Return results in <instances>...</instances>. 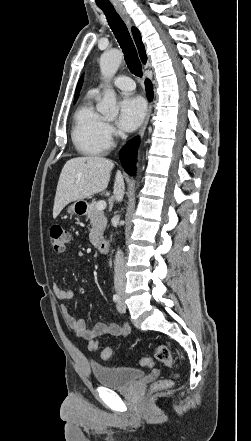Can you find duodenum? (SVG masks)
<instances>
[{"label":"duodenum","instance_id":"410a0bca","mask_svg":"<svg viewBox=\"0 0 251 441\" xmlns=\"http://www.w3.org/2000/svg\"><path fill=\"white\" fill-rule=\"evenodd\" d=\"M97 248L101 253H108L109 252V242L106 239L99 240L97 242Z\"/></svg>","mask_w":251,"mask_h":441}]
</instances>
